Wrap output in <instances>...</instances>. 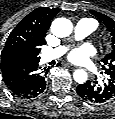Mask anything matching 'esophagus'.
Segmentation results:
<instances>
[{
    "label": "esophagus",
    "instance_id": "obj_1",
    "mask_svg": "<svg viewBox=\"0 0 115 119\" xmlns=\"http://www.w3.org/2000/svg\"><path fill=\"white\" fill-rule=\"evenodd\" d=\"M73 68H75V69H79V67H77V66H75V65H73Z\"/></svg>",
    "mask_w": 115,
    "mask_h": 119
}]
</instances>
